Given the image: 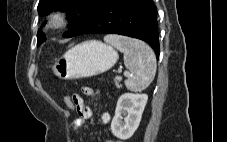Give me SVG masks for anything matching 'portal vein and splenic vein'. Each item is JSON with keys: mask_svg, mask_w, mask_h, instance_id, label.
I'll list each match as a JSON object with an SVG mask.
<instances>
[{"mask_svg": "<svg viewBox=\"0 0 227 142\" xmlns=\"http://www.w3.org/2000/svg\"><path fill=\"white\" fill-rule=\"evenodd\" d=\"M119 72H121V71H119ZM124 74H125V75H128V72L126 71Z\"/></svg>", "mask_w": 227, "mask_h": 142, "instance_id": "portal-vein-and-splenic-vein-1", "label": "portal vein and splenic vein"}]
</instances>
